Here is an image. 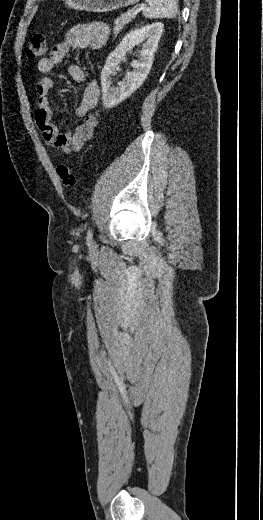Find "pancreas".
Instances as JSON below:
<instances>
[{
    "mask_svg": "<svg viewBox=\"0 0 263 520\" xmlns=\"http://www.w3.org/2000/svg\"><path fill=\"white\" fill-rule=\"evenodd\" d=\"M135 18V15L131 13H124L114 21V33L118 34L125 25L131 22Z\"/></svg>",
    "mask_w": 263,
    "mask_h": 520,
    "instance_id": "cf45deb5",
    "label": "pancreas"
}]
</instances>
